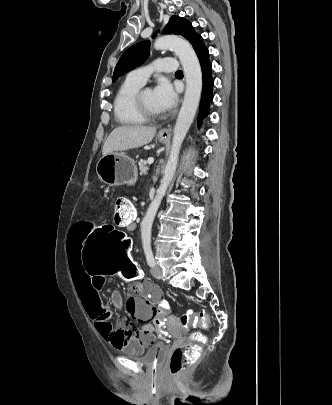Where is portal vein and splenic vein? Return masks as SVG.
Wrapping results in <instances>:
<instances>
[{
    "label": "portal vein and splenic vein",
    "instance_id": "1",
    "mask_svg": "<svg viewBox=\"0 0 332 405\" xmlns=\"http://www.w3.org/2000/svg\"><path fill=\"white\" fill-rule=\"evenodd\" d=\"M153 162H154V158H152V157L149 158L148 161H147L148 164H152Z\"/></svg>",
    "mask_w": 332,
    "mask_h": 405
}]
</instances>
